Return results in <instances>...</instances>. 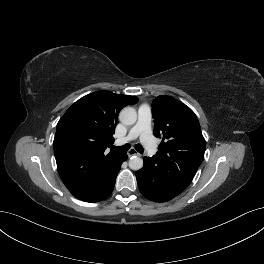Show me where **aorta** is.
I'll return each mask as SVG.
<instances>
[{"instance_id": "obj_1", "label": "aorta", "mask_w": 264, "mask_h": 264, "mask_svg": "<svg viewBox=\"0 0 264 264\" xmlns=\"http://www.w3.org/2000/svg\"><path fill=\"white\" fill-rule=\"evenodd\" d=\"M119 120L125 125H133L137 120V112L132 107H125L119 114ZM143 167V159L137 156H132L129 160V168L139 170Z\"/></svg>"}]
</instances>
